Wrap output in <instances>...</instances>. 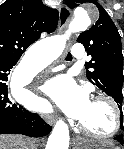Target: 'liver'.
Wrapping results in <instances>:
<instances>
[{
  "label": "liver",
  "mask_w": 124,
  "mask_h": 149,
  "mask_svg": "<svg viewBox=\"0 0 124 149\" xmlns=\"http://www.w3.org/2000/svg\"><path fill=\"white\" fill-rule=\"evenodd\" d=\"M33 141L19 135H0V149H28Z\"/></svg>",
  "instance_id": "1"
}]
</instances>
